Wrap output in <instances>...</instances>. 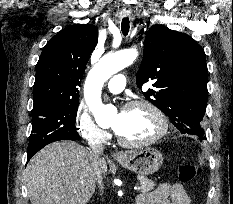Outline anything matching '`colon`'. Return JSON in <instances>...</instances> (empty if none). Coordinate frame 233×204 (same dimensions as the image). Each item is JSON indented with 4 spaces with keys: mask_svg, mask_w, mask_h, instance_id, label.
Returning <instances> with one entry per match:
<instances>
[{
    "mask_svg": "<svg viewBox=\"0 0 233 204\" xmlns=\"http://www.w3.org/2000/svg\"><path fill=\"white\" fill-rule=\"evenodd\" d=\"M202 170L195 164H182L176 168V175L181 182L188 183L201 174Z\"/></svg>",
    "mask_w": 233,
    "mask_h": 204,
    "instance_id": "5ec220e1",
    "label": "colon"
}]
</instances>
